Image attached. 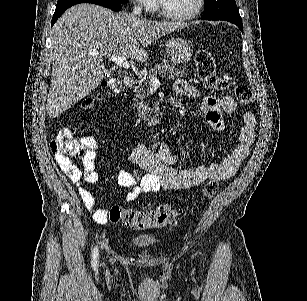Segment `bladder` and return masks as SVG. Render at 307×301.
Returning a JSON list of instances; mask_svg holds the SVG:
<instances>
[{
    "mask_svg": "<svg viewBox=\"0 0 307 301\" xmlns=\"http://www.w3.org/2000/svg\"><path fill=\"white\" fill-rule=\"evenodd\" d=\"M157 240V236L134 235L132 242L140 247H145L149 244L156 243Z\"/></svg>",
    "mask_w": 307,
    "mask_h": 301,
    "instance_id": "1",
    "label": "bladder"
}]
</instances>
